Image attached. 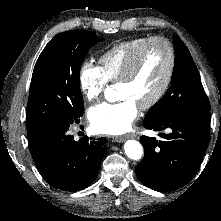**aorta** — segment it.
Listing matches in <instances>:
<instances>
[{"mask_svg": "<svg viewBox=\"0 0 221 221\" xmlns=\"http://www.w3.org/2000/svg\"><path fill=\"white\" fill-rule=\"evenodd\" d=\"M125 154L132 160H139L143 155V147L136 140H128L124 144Z\"/></svg>", "mask_w": 221, "mask_h": 221, "instance_id": "aorta-1", "label": "aorta"}]
</instances>
